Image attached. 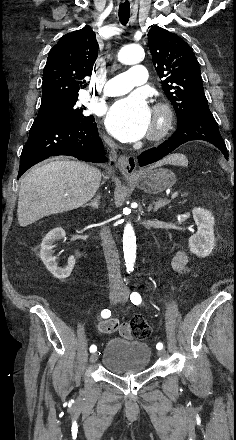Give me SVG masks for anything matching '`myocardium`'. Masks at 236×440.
Masks as SVG:
<instances>
[{
	"label": "myocardium",
	"mask_w": 236,
	"mask_h": 440,
	"mask_svg": "<svg viewBox=\"0 0 236 440\" xmlns=\"http://www.w3.org/2000/svg\"><path fill=\"white\" fill-rule=\"evenodd\" d=\"M173 124V111L169 104L159 102L154 107L153 122L149 131L150 140H160L170 131Z\"/></svg>",
	"instance_id": "f54148a6"
}]
</instances>
